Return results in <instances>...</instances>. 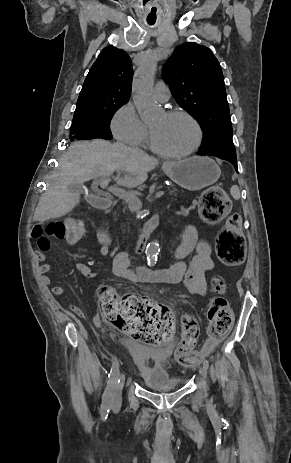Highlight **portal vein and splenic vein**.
Listing matches in <instances>:
<instances>
[{"label":"portal vein and splenic vein","mask_w":291,"mask_h":463,"mask_svg":"<svg viewBox=\"0 0 291 463\" xmlns=\"http://www.w3.org/2000/svg\"><path fill=\"white\" fill-rule=\"evenodd\" d=\"M100 183L101 187L102 188H106L108 186V179H103V180H97L96 183ZM108 190L113 193L114 195L122 198L123 200H125L130 208L134 211L136 210H139L142 206V203L140 201V199L134 195L133 193H130L128 191H126L125 189H122V188H119V187H116V186H111L108 188ZM164 191L163 190H160V191H157L155 193V197H160L162 195H164Z\"/></svg>","instance_id":"1"}]
</instances>
